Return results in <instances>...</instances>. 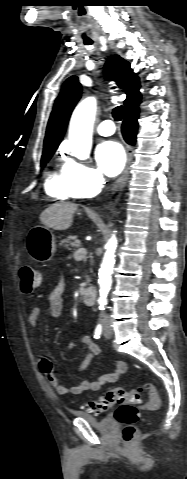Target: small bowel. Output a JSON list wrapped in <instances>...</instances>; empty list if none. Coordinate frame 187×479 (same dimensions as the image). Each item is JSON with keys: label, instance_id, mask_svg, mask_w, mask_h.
Returning a JSON list of instances; mask_svg holds the SVG:
<instances>
[{"label": "small bowel", "instance_id": "small-bowel-1", "mask_svg": "<svg viewBox=\"0 0 187 479\" xmlns=\"http://www.w3.org/2000/svg\"><path fill=\"white\" fill-rule=\"evenodd\" d=\"M65 303L64 296V284L60 281L50 292L47 298V304L49 308V314L53 318H58L61 315L63 306ZM41 315V309L37 306L33 307L28 317V323L33 330H36L39 324ZM68 350H86V355L78 365L76 373L80 374L84 372L89 366L91 360L100 354L99 346L94 343L92 338L88 335L81 337L80 343H69L66 345ZM40 368L46 375L49 386L59 396H66L68 394L78 395L86 390L97 391L108 383L116 382L122 374L127 370V365L119 361L115 364L114 369L106 374L101 375L97 379L89 380L85 379L76 385L70 387L65 386L60 382L57 376L53 373V363L48 357H42L40 360Z\"/></svg>", "mask_w": 187, "mask_h": 479}]
</instances>
